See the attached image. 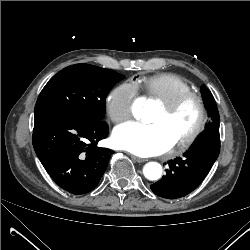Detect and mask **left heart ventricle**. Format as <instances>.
<instances>
[{
	"label": "left heart ventricle",
	"instance_id": "obj_1",
	"mask_svg": "<svg viewBox=\"0 0 250 250\" xmlns=\"http://www.w3.org/2000/svg\"><path fill=\"white\" fill-rule=\"evenodd\" d=\"M197 120L198 108L196 103L191 100L183 104L170 116H167L163 108L160 107L150 122L161 125L175 143L194 128Z\"/></svg>",
	"mask_w": 250,
	"mask_h": 250
}]
</instances>
